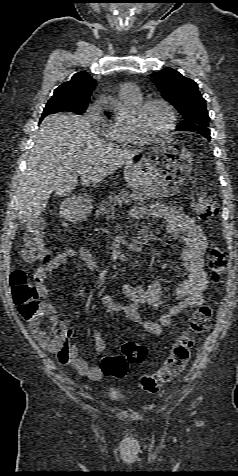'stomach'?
Returning a JSON list of instances; mask_svg holds the SVG:
<instances>
[{
	"instance_id": "0dacf381",
	"label": "stomach",
	"mask_w": 238,
	"mask_h": 476,
	"mask_svg": "<svg viewBox=\"0 0 238 476\" xmlns=\"http://www.w3.org/2000/svg\"><path fill=\"white\" fill-rule=\"evenodd\" d=\"M133 159L124 165V179L128 186L147 197L175 194L192 169L191 153L174 140L147 144L146 149L134 152ZM67 203L70 206L65 215L73 220L84 219L92 209L87 196L69 198Z\"/></svg>"
}]
</instances>
